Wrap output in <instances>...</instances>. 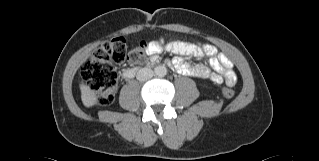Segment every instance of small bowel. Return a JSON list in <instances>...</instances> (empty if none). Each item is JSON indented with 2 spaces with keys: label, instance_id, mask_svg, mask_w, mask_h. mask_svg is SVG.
<instances>
[{
  "label": "small bowel",
  "instance_id": "obj_1",
  "mask_svg": "<svg viewBox=\"0 0 319 161\" xmlns=\"http://www.w3.org/2000/svg\"><path fill=\"white\" fill-rule=\"evenodd\" d=\"M171 36H165L152 40L148 43V51L150 55H158L162 49L175 54L173 65L175 70L186 76L209 78L216 84L222 83L224 80L228 85L233 86L236 83V73L233 69L232 62L217 48L208 43H186L183 41H173ZM209 56V67L203 64L190 65L186 63L182 56H190L200 58Z\"/></svg>",
  "mask_w": 319,
  "mask_h": 161
}]
</instances>
